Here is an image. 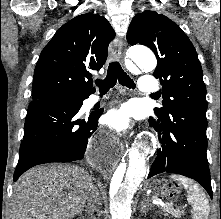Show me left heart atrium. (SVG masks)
<instances>
[{"label": "left heart atrium", "instance_id": "left-heart-atrium-1", "mask_svg": "<svg viewBox=\"0 0 221 219\" xmlns=\"http://www.w3.org/2000/svg\"><path fill=\"white\" fill-rule=\"evenodd\" d=\"M132 111L129 106L122 105L111 109L106 114L107 124L117 131H123L131 125Z\"/></svg>", "mask_w": 221, "mask_h": 219}]
</instances>
